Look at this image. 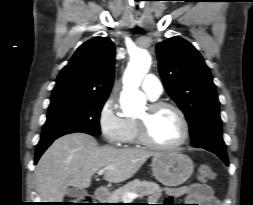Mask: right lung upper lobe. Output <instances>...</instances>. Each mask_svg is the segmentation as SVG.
Returning <instances> with one entry per match:
<instances>
[{
	"label": "right lung upper lobe",
	"mask_w": 253,
	"mask_h": 205,
	"mask_svg": "<svg viewBox=\"0 0 253 205\" xmlns=\"http://www.w3.org/2000/svg\"><path fill=\"white\" fill-rule=\"evenodd\" d=\"M115 47L107 37L83 43L56 80L51 100L65 97L107 98L114 79Z\"/></svg>",
	"instance_id": "right-lung-upper-lobe-1"
}]
</instances>
